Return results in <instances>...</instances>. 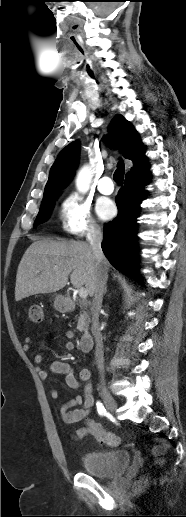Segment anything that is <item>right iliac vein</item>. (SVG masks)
<instances>
[{
	"label": "right iliac vein",
	"mask_w": 186,
	"mask_h": 517,
	"mask_svg": "<svg viewBox=\"0 0 186 517\" xmlns=\"http://www.w3.org/2000/svg\"><path fill=\"white\" fill-rule=\"evenodd\" d=\"M101 396L106 409L109 412L114 413L117 409V403L113 396L109 393V391L106 388L101 389Z\"/></svg>",
	"instance_id": "obj_1"
}]
</instances>
